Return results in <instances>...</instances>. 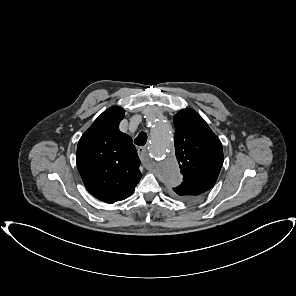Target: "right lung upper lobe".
<instances>
[{"label": "right lung upper lobe", "instance_id": "cb5924a9", "mask_svg": "<svg viewBox=\"0 0 296 296\" xmlns=\"http://www.w3.org/2000/svg\"><path fill=\"white\" fill-rule=\"evenodd\" d=\"M121 107L104 111L85 131L77 147V167L88 192L106 203L129 197L142 174L131 137L119 130Z\"/></svg>", "mask_w": 296, "mask_h": 296}]
</instances>
